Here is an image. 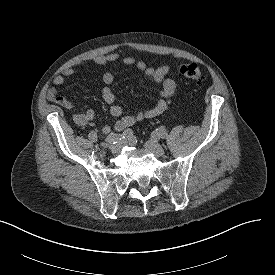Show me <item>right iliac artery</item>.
<instances>
[{"label": "right iliac artery", "instance_id": "obj_1", "mask_svg": "<svg viewBox=\"0 0 275 275\" xmlns=\"http://www.w3.org/2000/svg\"><path fill=\"white\" fill-rule=\"evenodd\" d=\"M133 136V132L131 129H127L125 130L123 133L121 134H110L107 138H106V142L111 144H115L117 143L119 140H129L131 139ZM89 139L93 142H96L98 140V136L96 134V132L91 131L88 135Z\"/></svg>", "mask_w": 275, "mask_h": 275}]
</instances>
